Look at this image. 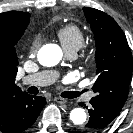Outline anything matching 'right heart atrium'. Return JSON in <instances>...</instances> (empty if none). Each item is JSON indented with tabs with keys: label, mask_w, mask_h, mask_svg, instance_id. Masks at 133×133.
Here are the masks:
<instances>
[{
	"label": "right heart atrium",
	"mask_w": 133,
	"mask_h": 133,
	"mask_svg": "<svg viewBox=\"0 0 133 133\" xmlns=\"http://www.w3.org/2000/svg\"><path fill=\"white\" fill-rule=\"evenodd\" d=\"M39 45H40V38L39 37L33 38L29 44L28 54L30 56H35L38 51Z\"/></svg>",
	"instance_id": "obj_1"
}]
</instances>
